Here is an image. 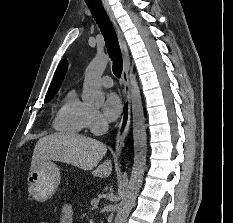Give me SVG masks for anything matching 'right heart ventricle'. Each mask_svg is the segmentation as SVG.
I'll list each match as a JSON object with an SVG mask.
<instances>
[{"label": "right heart ventricle", "instance_id": "obj_1", "mask_svg": "<svg viewBox=\"0 0 233 223\" xmlns=\"http://www.w3.org/2000/svg\"><path fill=\"white\" fill-rule=\"evenodd\" d=\"M88 112L89 107L79 99L77 91L70 89L54 112L52 127L61 133H80L86 127Z\"/></svg>", "mask_w": 233, "mask_h": 223}]
</instances>
